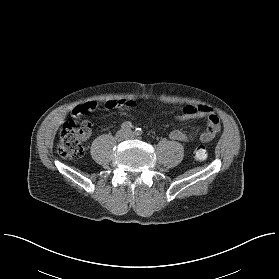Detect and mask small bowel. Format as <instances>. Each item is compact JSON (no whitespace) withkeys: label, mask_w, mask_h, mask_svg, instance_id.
Instances as JSON below:
<instances>
[{"label":"small bowel","mask_w":279,"mask_h":279,"mask_svg":"<svg viewBox=\"0 0 279 279\" xmlns=\"http://www.w3.org/2000/svg\"><path fill=\"white\" fill-rule=\"evenodd\" d=\"M133 103H134V101L131 99L95 98L91 104H85L82 106V108L84 110H94L96 106H98L99 104H102L106 110H112V109H115L116 107H122L127 104H133ZM80 115H81L80 107H75L70 111L71 117L76 118V117H79ZM204 117H206L208 120V127L206 128L205 131H203L201 133V135H200L201 141H203L204 137L210 133L211 127H213L214 125L220 126V120L215 115V113L212 111V109L207 106L187 105L184 107V112L182 114L176 116V118L179 120L204 118ZM169 137H170V139L175 140V141L189 142L194 139L195 132L186 134L180 130H173L170 132Z\"/></svg>","instance_id":"small-bowel-1"}]
</instances>
